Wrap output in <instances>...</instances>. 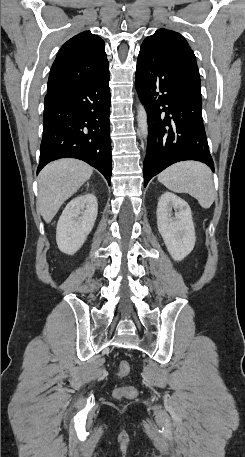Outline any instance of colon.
Returning a JSON list of instances; mask_svg holds the SVG:
<instances>
[{"label": "colon", "mask_w": 245, "mask_h": 457, "mask_svg": "<svg viewBox=\"0 0 245 457\" xmlns=\"http://www.w3.org/2000/svg\"><path fill=\"white\" fill-rule=\"evenodd\" d=\"M130 370L129 363L125 360L120 361L118 366V376L125 377ZM136 390L133 387H120L115 390V396L118 398L129 397L134 395Z\"/></svg>", "instance_id": "colon-1"}]
</instances>
